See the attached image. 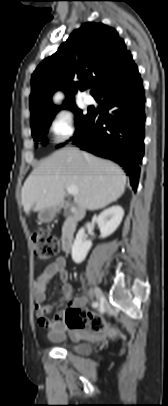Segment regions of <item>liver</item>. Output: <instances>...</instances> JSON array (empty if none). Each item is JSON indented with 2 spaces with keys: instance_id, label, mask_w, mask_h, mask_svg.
Segmentation results:
<instances>
[{
  "instance_id": "liver-1",
  "label": "liver",
  "mask_w": 168,
  "mask_h": 406,
  "mask_svg": "<svg viewBox=\"0 0 168 406\" xmlns=\"http://www.w3.org/2000/svg\"><path fill=\"white\" fill-rule=\"evenodd\" d=\"M126 175L112 161L98 158L76 148L56 151L36 167L22 191L23 209L41 211L61 204L65 189L76 186L74 202L85 210H98L116 201L125 191Z\"/></svg>"
}]
</instances>
